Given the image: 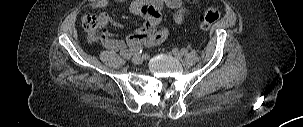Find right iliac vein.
<instances>
[{
    "mask_svg": "<svg viewBox=\"0 0 303 127\" xmlns=\"http://www.w3.org/2000/svg\"><path fill=\"white\" fill-rule=\"evenodd\" d=\"M132 62L136 65H140L142 62H143V59L140 55H135L133 58H132Z\"/></svg>",
    "mask_w": 303,
    "mask_h": 127,
    "instance_id": "63e3f726",
    "label": "right iliac vein"
}]
</instances>
